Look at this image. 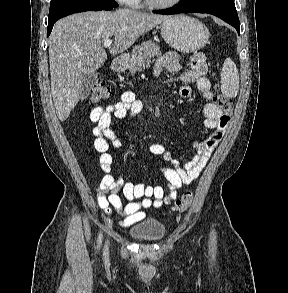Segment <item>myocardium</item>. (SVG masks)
Masks as SVG:
<instances>
[{"instance_id": "obj_1", "label": "myocardium", "mask_w": 288, "mask_h": 293, "mask_svg": "<svg viewBox=\"0 0 288 293\" xmlns=\"http://www.w3.org/2000/svg\"><path fill=\"white\" fill-rule=\"evenodd\" d=\"M147 5L157 9H168L176 6L180 0H170L169 2H156L155 0H144Z\"/></svg>"}]
</instances>
